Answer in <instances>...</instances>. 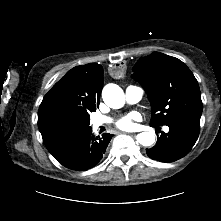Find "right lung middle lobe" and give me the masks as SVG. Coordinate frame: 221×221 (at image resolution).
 Masks as SVG:
<instances>
[{"instance_id": "obj_1", "label": "right lung middle lobe", "mask_w": 221, "mask_h": 221, "mask_svg": "<svg viewBox=\"0 0 221 221\" xmlns=\"http://www.w3.org/2000/svg\"><path fill=\"white\" fill-rule=\"evenodd\" d=\"M89 120L90 118L80 124L67 121H61L55 124L54 128L57 132L56 136L58 140L65 144L72 143L75 139L91 129V127H89Z\"/></svg>"}]
</instances>
